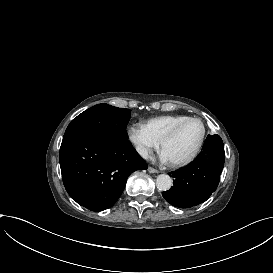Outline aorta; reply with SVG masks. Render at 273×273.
<instances>
[{
  "mask_svg": "<svg viewBox=\"0 0 273 273\" xmlns=\"http://www.w3.org/2000/svg\"><path fill=\"white\" fill-rule=\"evenodd\" d=\"M173 185L171 177L167 174H160L156 178V186L160 191H168Z\"/></svg>",
  "mask_w": 273,
  "mask_h": 273,
  "instance_id": "1",
  "label": "aorta"
}]
</instances>
